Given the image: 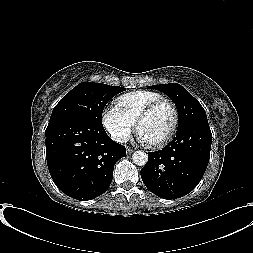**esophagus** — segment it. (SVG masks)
I'll use <instances>...</instances> for the list:
<instances>
[{"label": "esophagus", "instance_id": "esophagus-1", "mask_svg": "<svg viewBox=\"0 0 253 253\" xmlns=\"http://www.w3.org/2000/svg\"><path fill=\"white\" fill-rule=\"evenodd\" d=\"M135 150L130 148V147H127V153L128 154H132Z\"/></svg>", "mask_w": 253, "mask_h": 253}]
</instances>
